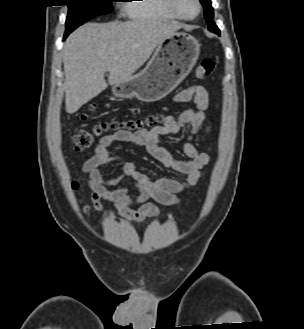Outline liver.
Returning a JSON list of instances; mask_svg holds the SVG:
<instances>
[{
  "instance_id": "obj_1",
  "label": "liver",
  "mask_w": 304,
  "mask_h": 329,
  "mask_svg": "<svg viewBox=\"0 0 304 329\" xmlns=\"http://www.w3.org/2000/svg\"><path fill=\"white\" fill-rule=\"evenodd\" d=\"M182 25L151 19L86 23L66 40L63 49L66 111L80 107L107 88L127 81L165 38ZM117 58V59H116Z\"/></svg>"
}]
</instances>
